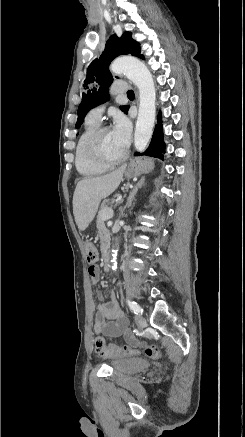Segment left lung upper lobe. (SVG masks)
Here are the masks:
<instances>
[{"label":"left lung upper lobe","mask_w":245,"mask_h":437,"mask_svg":"<svg viewBox=\"0 0 245 437\" xmlns=\"http://www.w3.org/2000/svg\"><path fill=\"white\" fill-rule=\"evenodd\" d=\"M125 54L142 56L140 55V44L127 31L124 32L121 38H118L115 34L112 35L107 41L101 57L95 59L89 65L84 81L85 90L82 93V101L78 108L77 129L83 123L90 109L109 100L108 89L113 81V77L109 72V65L114 58ZM90 85L95 86L90 87ZM120 108L127 113L129 106H121Z\"/></svg>","instance_id":"obj_1"}]
</instances>
